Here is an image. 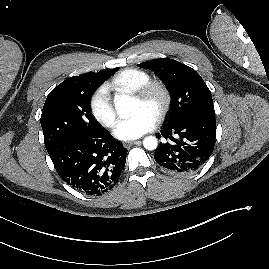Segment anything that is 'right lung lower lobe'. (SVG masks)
I'll return each instance as SVG.
<instances>
[{
    "instance_id": "obj_1",
    "label": "right lung lower lobe",
    "mask_w": 269,
    "mask_h": 269,
    "mask_svg": "<svg viewBox=\"0 0 269 269\" xmlns=\"http://www.w3.org/2000/svg\"><path fill=\"white\" fill-rule=\"evenodd\" d=\"M59 176L73 189L99 196L116 185L127 150L106 130L74 136L48 151Z\"/></svg>"
}]
</instances>
